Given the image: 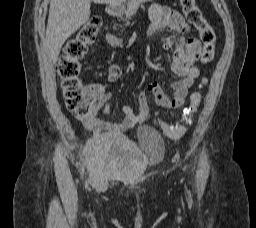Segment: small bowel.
<instances>
[{"label": "small bowel", "instance_id": "c3829d8e", "mask_svg": "<svg viewBox=\"0 0 256 228\" xmlns=\"http://www.w3.org/2000/svg\"><path fill=\"white\" fill-rule=\"evenodd\" d=\"M151 25L148 35L162 29H170L180 35L178 44L174 50V56L171 64L172 71L180 77L174 81L172 87V97L167 96L157 81L150 83L142 90L137 97V110L131 106L125 105L123 113L125 115L121 122L113 123L103 119L92 117L86 120V125L97 132L121 133L145 122L149 116V107L147 94L151 93L155 102L165 109H176L184 105L190 87L199 75V70L195 66L201 53V43L197 38L187 36L190 27L185 22L183 16L169 8L154 5L150 9ZM187 36V37H186ZM174 45L173 40H166L163 47L170 49ZM122 76V69L110 58L107 61V80L115 82ZM89 91L96 95L103 105V111L108 112L111 93L104 85L93 84Z\"/></svg>", "mask_w": 256, "mask_h": 228}]
</instances>
